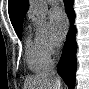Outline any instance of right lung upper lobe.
Listing matches in <instances>:
<instances>
[{
    "mask_svg": "<svg viewBox=\"0 0 89 89\" xmlns=\"http://www.w3.org/2000/svg\"><path fill=\"white\" fill-rule=\"evenodd\" d=\"M29 8L28 0H9L8 12L11 23L16 31L21 24Z\"/></svg>",
    "mask_w": 89,
    "mask_h": 89,
    "instance_id": "obj_1",
    "label": "right lung upper lobe"
}]
</instances>
